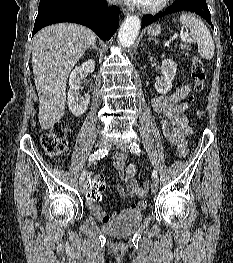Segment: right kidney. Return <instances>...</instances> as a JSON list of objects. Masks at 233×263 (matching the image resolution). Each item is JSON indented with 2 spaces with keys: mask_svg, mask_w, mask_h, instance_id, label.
<instances>
[{
  "mask_svg": "<svg viewBox=\"0 0 233 263\" xmlns=\"http://www.w3.org/2000/svg\"><path fill=\"white\" fill-rule=\"evenodd\" d=\"M95 70V61L89 59L80 67H75L69 78L68 107L76 117L85 113L90 102V95H80V88L83 79V72L92 73Z\"/></svg>",
  "mask_w": 233,
  "mask_h": 263,
  "instance_id": "obj_1",
  "label": "right kidney"
}]
</instances>
